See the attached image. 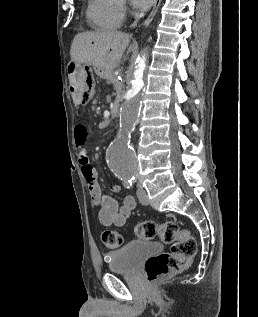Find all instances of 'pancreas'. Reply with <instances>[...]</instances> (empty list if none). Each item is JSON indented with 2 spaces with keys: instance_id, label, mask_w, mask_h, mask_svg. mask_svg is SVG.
Listing matches in <instances>:
<instances>
[{
  "instance_id": "cf45deb5",
  "label": "pancreas",
  "mask_w": 258,
  "mask_h": 317,
  "mask_svg": "<svg viewBox=\"0 0 258 317\" xmlns=\"http://www.w3.org/2000/svg\"><path fill=\"white\" fill-rule=\"evenodd\" d=\"M109 82L111 84V86L113 87V91L115 93H120L122 91V84L119 83L118 79L116 77H111L109 79Z\"/></svg>"
}]
</instances>
